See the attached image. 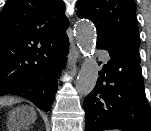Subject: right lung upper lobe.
Segmentation results:
<instances>
[{
	"instance_id": "1",
	"label": "right lung upper lobe",
	"mask_w": 151,
	"mask_h": 131,
	"mask_svg": "<svg viewBox=\"0 0 151 131\" xmlns=\"http://www.w3.org/2000/svg\"><path fill=\"white\" fill-rule=\"evenodd\" d=\"M68 26L62 0H7L0 13V94L39 70Z\"/></svg>"
}]
</instances>
